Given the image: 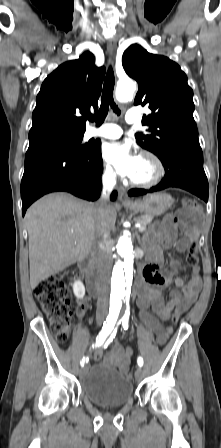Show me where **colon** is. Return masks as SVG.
Segmentation results:
<instances>
[{"label":"colon","instance_id":"5ec220e1","mask_svg":"<svg viewBox=\"0 0 221 448\" xmlns=\"http://www.w3.org/2000/svg\"><path fill=\"white\" fill-rule=\"evenodd\" d=\"M201 215L199 204L192 199H185L183 211L175 216V222L179 224H193L198 227L197 220L193 217ZM187 262L191 266H197L199 257L197 254V243L192 241L188 246ZM68 272L50 276L41 281L35 288L34 294L51 325L52 331L57 341L64 343L69 336L70 327L73 321L75 308L67 295L65 278ZM173 321L177 322L179 317L174 315Z\"/></svg>","mask_w":221,"mask_h":448}]
</instances>
